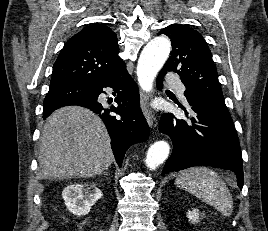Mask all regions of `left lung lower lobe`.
<instances>
[{"label":"left lung lower lobe","instance_id":"1","mask_svg":"<svg viewBox=\"0 0 268 231\" xmlns=\"http://www.w3.org/2000/svg\"><path fill=\"white\" fill-rule=\"evenodd\" d=\"M165 73L160 72L157 86L162 88ZM190 114L187 120L164 113L159 131L171 137L173 152L162 175L197 165H208L233 171L240 189L243 187V166L239 139L232 119L208 105L186 97Z\"/></svg>","mask_w":268,"mask_h":231}]
</instances>
